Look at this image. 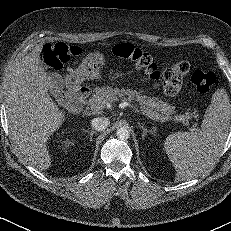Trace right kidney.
Here are the masks:
<instances>
[{
	"mask_svg": "<svg viewBox=\"0 0 231 231\" xmlns=\"http://www.w3.org/2000/svg\"><path fill=\"white\" fill-rule=\"evenodd\" d=\"M63 143H64L65 148H69L70 146L74 145V143L71 142L70 140H66Z\"/></svg>",
	"mask_w": 231,
	"mask_h": 231,
	"instance_id": "right-kidney-1",
	"label": "right kidney"
}]
</instances>
